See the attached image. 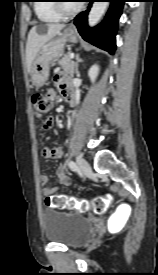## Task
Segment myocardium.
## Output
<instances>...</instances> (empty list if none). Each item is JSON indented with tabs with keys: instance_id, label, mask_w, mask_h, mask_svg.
Wrapping results in <instances>:
<instances>
[{
	"instance_id": "f54148a6",
	"label": "myocardium",
	"mask_w": 158,
	"mask_h": 275,
	"mask_svg": "<svg viewBox=\"0 0 158 275\" xmlns=\"http://www.w3.org/2000/svg\"><path fill=\"white\" fill-rule=\"evenodd\" d=\"M56 2H62V1H56ZM54 7L58 12V14H60L63 17L73 16L82 9L81 5H78L73 9H68L64 3H54Z\"/></svg>"
}]
</instances>
